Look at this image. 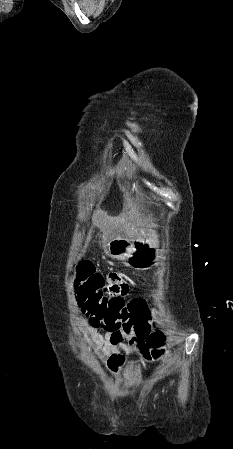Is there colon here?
<instances>
[{"instance_id":"5ec220e1","label":"colon","mask_w":233,"mask_h":449,"mask_svg":"<svg viewBox=\"0 0 233 449\" xmlns=\"http://www.w3.org/2000/svg\"><path fill=\"white\" fill-rule=\"evenodd\" d=\"M106 280L92 262H79L75 279L76 301L89 315L93 328H122L123 334H138L139 349H150L151 345L161 347L164 337L157 332L152 333L154 322L150 319L151 311L145 310V301H123L121 296H114L113 302L108 301L107 293L102 290Z\"/></svg>"}]
</instances>
